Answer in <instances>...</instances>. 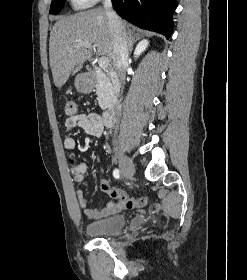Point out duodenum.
Wrapping results in <instances>:
<instances>
[{"label":"duodenum","instance_id":"410a0bca","mask_svg":"<svg viewBox=\"0 0 247 280\" xmlns=\"http://www.w3.org/2000/svg\"><path fill=\"white\" fill-rule=\"evenodd\" d=\"M94 75H95L94 71H90L88 73V78L92 79ZM118 110H119V106L116 104L107 108L104 111L103 120L106 126L111 127L115 124Z\"/></svg>","mask_w":247,"mask_h":280}]
</instances>
